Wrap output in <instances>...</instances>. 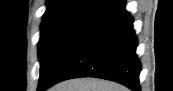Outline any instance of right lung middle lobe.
I'll return each instance as SVG.
<instances>
[{
    "label": "right lung middle lobe",
    "mask_w": 173,
    "mask_h": 91,
    "mask_svg": "<svg viewBox=\"0 0 173 91\" xmlns=\"http://www.w3.org/2000/svg\"><path fill=\"white\" fill-rule=\"evenodd\" d=\"M113 4L111 0L102 2V5L108 7ZM84 24V21L73 20L41 25V37L38 44L40 61L39 83L48 78L56 62Z\"/></svg>",
    "instance_id": "obj_1"
}]
</instances>
